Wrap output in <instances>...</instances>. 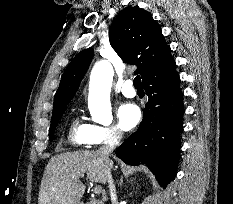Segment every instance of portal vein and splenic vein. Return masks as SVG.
I'll use <instances>...</instances> for the list:
<instances>
[{
  "mask_svg": "<svg viewBox=\"0 0 233 204\" xmlns=\"http://www.w3.org/2000/svg\"><path fill=\"white\" fill-rule=\"evenodd\" d=\"M94 193L95 194H101L102 193V187L101 186H95L94 187Z\"/></svg>",
  "mask_w": 233,
  "mask_h": 204,
  "instance_id": "18ae733b",
  "label": "portal vein and splenic vein"
}]
</instances>
